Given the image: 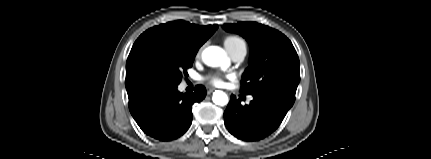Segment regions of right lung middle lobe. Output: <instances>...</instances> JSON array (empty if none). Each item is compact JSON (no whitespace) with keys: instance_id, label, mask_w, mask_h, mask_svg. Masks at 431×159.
<instances>
[{"instance_id":"obj_1","label":"right lung middle lobe","mask_w":431,"mask_h":159,"mask_svg":"<svg viewBox=\"0 0 431 159\" xmlns=\"http://www.w3.org/2000/svg\"><path fill=\"white\" fill-rule=\"evenodd\" d=\"M196 52L171 44L148 41L136 47L131 64L140 80L148 87L178 86L182 74L193 64Z\"/></svg>"}]
</instances>
